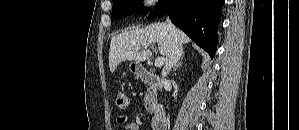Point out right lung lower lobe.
<instances>
[{"label": "right lung lower lobe", "instance_id": "obj_1", "mask_svg": "<svg viewBox=\"0 0 299 130\" xmlns=\"http://www.w3.org/2000/svg\"><path fill=\"white\" fill-rule=\"evenodd\" d=\"M223 4L224 0H159L149 19L169 15L172 23L213 57Z\"/></svg>", "mask_w": 299, "mask_h": 130}]
</instances>
